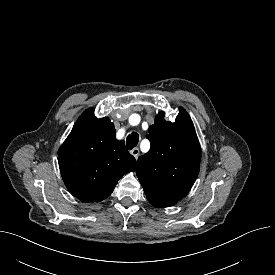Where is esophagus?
I'll list each match as a JSON object with an SVG mask.
<instances>
[{
	"mask_svg": "<svg viewBox=\"0 0 275 275\" xmlns=\"http://www.w3.org/2000/svg\"><path fill=\"white\" fill-rule=\"evenodd\" d=\"M131 154L135 157V159H138L139 155H140V150L139 148H134L131 150Z\"/></svg>",
	"mask_w": 275,
	"mask_h": 275,
	"instance_id": "obj_1",
	"label": "esophagus"
}]
</instances>
